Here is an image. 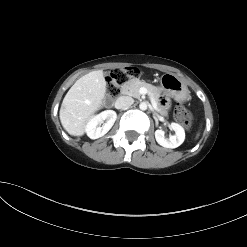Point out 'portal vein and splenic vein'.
Returning <instances> with one entry per match:
<instances>
[{"instance_id":"portal-vein-and-splenic-vein-1","label":"portal vein and splenic vein","mask_w":247,"mask_h":247,"mask_svg":"<svg viewBox=\"0 0 247 247\" xmlns=\"http://www.w3.org/2000/svg\"><path fill=\"white\" fill-rule=\"evenodd\" d=\"M151 101H152V103H154V99L152 98V96H151Z\"/></svg>"}]
</instances>
